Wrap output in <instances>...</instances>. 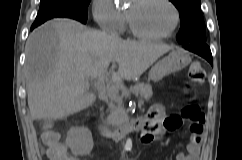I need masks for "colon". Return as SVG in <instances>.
Masks as SVG:
<instances>
[{"label": "colon", "instance_id": "5ec220e1", "mask_svg": "<svg viewBox=\"0 0 242 160\" xmlns=\"http://www.w3.org/2000/svg\"><path fill=\"white\" fill-rule=\"evenodd\" d=\"M189 85L199 84L205 78V71L199 62H194L189 67ZM188 85V88H189ZM184 118L192 122V128H197L203 121V114L195 103H188L182 109ZM42 141L47 148V154L51 160H66L68 152L65 146L60 142V135L52 129H46L43 133Z\"/></svg>", "mask_w": 242, "mask_h": 160}]
</instances>
